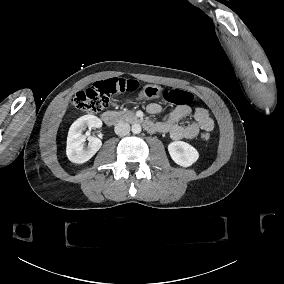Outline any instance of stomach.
I'll return each instance as SVG.
<instances>
[{"instance_id": "1", "label": "stomach", "mask_w": 284, "mask_h": 284, "mask_svg": "<svg viewBox=\"0 0 284 284\" xmlns=\"http://www.w3.org/2000/svg\"><path fill=\"white\" fill-rule=\"evenodd\" d=\"M163 93V88L160 85L146 84L138 92L135 98L128 97L125 103H135L138 100H154L159 99Z\"/></svg>"}]
</instances>
